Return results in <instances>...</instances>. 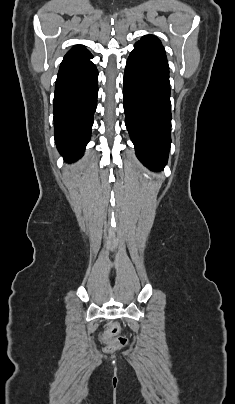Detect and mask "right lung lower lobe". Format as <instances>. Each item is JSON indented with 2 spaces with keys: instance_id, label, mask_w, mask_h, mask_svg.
Here are the masks:
<instances>
[{
  "instance_id": "98d812e1",
  "label": "right lung lower lobe",
  "mask_w": 235,
  "mask_h": 404,
  "mask_svg": "<svg viewBox=\"0 0 235 404\" xmlns=\"http://www.w3.org/2000/svg\"><path fill=\"white\" fill-rule=\"evenodd\" d=\"M91 58L63 60L56 80L54 136L69 163L83 155L91 135L98 93V71Z\"/></svg>"
}]
</instances>
